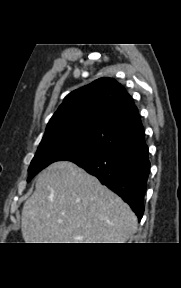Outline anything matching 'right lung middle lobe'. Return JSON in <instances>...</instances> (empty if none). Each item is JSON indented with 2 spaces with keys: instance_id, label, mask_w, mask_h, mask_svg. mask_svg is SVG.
I'll return each mask as SVG.
<instances>
[{
  "instance_id": "dd1d6c3e",
  "label": "right lung middle lobe",
  "mask_w": 181,
  "mask_h": 288,
  "mask_svg": "<svg viewBox=\"0 0 181 288\" xmlns=\"http://www.w3.org/2000/svg\"><path fill=\"white\" fill-rule=\"evenodd\" d=\"M108 151L91 140L81 137L42 140L28 169V181L49 164L76 158L89 157Z\"/></svg>"
}]
</instances>
